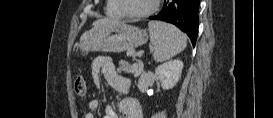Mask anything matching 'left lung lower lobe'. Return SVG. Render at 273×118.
Returning <instances> with one entry per match:
<instances>
[{
    "label": "left lung lower lobe",
    "instance_id": "1",
    "mask_svg": "<svg viewBox=\"0 0 273 118\" xmlns=\"http://www.w3.org/2000/svg\"><path fill=\"white\" fill-rule=\"evenodd\" d=\"M200 0H164L163 9L150 20L169 22L184 31L193 46L196 44L198 34V9Z\"/></svg>",
    "mask_w": 273,
    "mask_h": 118
}]
</instances>
